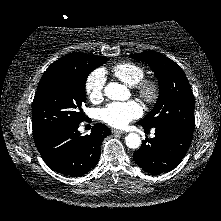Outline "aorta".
Returning a JSON list of instances; mask_svg holds the SVG:
<instances>
[{
  "label": "aorta",
  "mask_w": 221,
  "mask_h": 221,
  "mask_svg": "<svg viewBox=\"0 0 221 221\" xmlns=\"http://www.w3.org/2000/svg\"><path fill=\"white\" fill-rule=\"evenodd\" d=\"M104 93L111 100H126L130 95L125 85L114 82L105 86ZM125 142L127 147L136 149L141 145V137L137 133H130L126 136Z\"/></svg>",
  "instance_id": "aorta-1"
}]
</instances>
